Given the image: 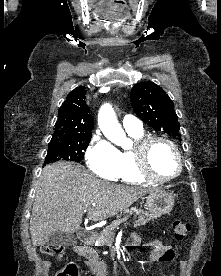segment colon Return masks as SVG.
Segmentation results:
<instances>
[{"mask_svg":"<svg viewBox=\"0 0 221 276\" xmlns=\"http://www.w3.org/2000/svg\"><path fill=\"white\" fill-rule=\"evenodd\" d=\"M173 236L177 241L184 240L191 230V225L188 222L181 220H174L172 223ZM42 251L50 256H60L63 252L62 246L57 245H45ZM55 276H78V268L75 264H69L66 267L57 271Z\"/></svg>","mask_w":221,"mask_h":276,"instance_id":"5ec220e1","label":"colon"}]
</instances>
